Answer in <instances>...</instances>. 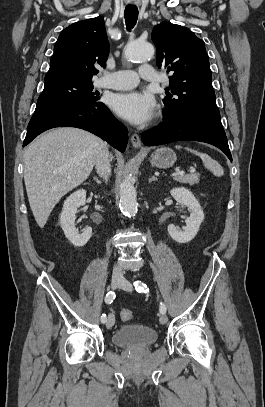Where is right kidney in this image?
Segmentation results:
<instances>
[{"label":"right kidney","mask_w":265,"mask_h":407,"mask_svg":"<svg viewBox=\"0 0 265 407\" xmlns=\"http://www.w3.org/2000/svg\"><path fill=\"white\" fill-rule=\"evenodd\" d=\"M85 202L86 191L83 189L77 190L65 200L60 216V225L64 234L75 247L84 246L92 235L91 227H87L81 234L76 231L75 227L77 209L85 205Z\"/></svg>","instance_id":"obj_1"}]
</instances>
